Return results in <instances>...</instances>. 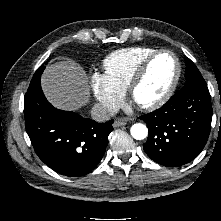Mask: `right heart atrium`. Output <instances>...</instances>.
<instances>
[{
	"label": "right heart atrium",
	"mask_w": 221,
	"mask_h": 221,
	"mask_svg": "<svg viewBox=\"0 0 221 221\" xmlns=\"http://www.w3.org/2000/svg\"><path fill=\"white\" fill-rule=\"evenodd\" d=\"M91 88L94 97L104 111L113 112L120 105L123 92L118 89L105 74H92Z\"/></svg>",
	"instance_id": "d8ad5b80"
}]
</instances>
